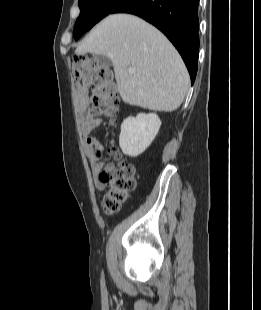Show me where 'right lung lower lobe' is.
<instances>
[{"mask_svg": "<svg viewBox=\"0 0 261 310\" xmlns=\"http://www.w3.org/2000/svg\"><path fill=\"white\" fill-rule=\"evenodd\" d=\"M199 0H124L111 13H130L161 30L182 56L194 83L199 54Z\"/></svg>", "mask_w": 261, "mask_h": 310, "instance_id": "right-lung-lower-lobe-1", "label": "right lung lower lobe"}]
</instances>
